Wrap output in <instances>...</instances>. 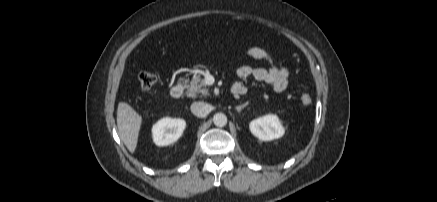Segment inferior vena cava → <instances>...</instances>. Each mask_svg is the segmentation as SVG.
I'll return each mask as SVG.
<instances>
[{"mask_svg": "<svg viewBox=\"0 0 437 202\" xmlns=\"http://www.w3.org/2000/svg\"><path fill=\"white\" fill-rule=\"evenodd\" d=\"M210 111V105L205 102H194L191 105V112L197 117H206Z\"/></svg>", "mask_w": 437, "mask_h": 202, "instance_id": "1", "label": "inferior vena cava"}]
</instances>
